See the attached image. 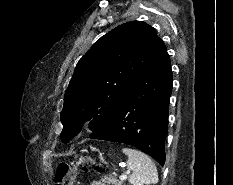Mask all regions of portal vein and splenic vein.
<instances>
[{
  "label": "portal vein and splenic vein",
  "instance_id": "obj_1",
  "mask_svg": "<svg viewBox=\"0 0 233 185\" xmlns=\"http://www.w3.org/2000/svg\"><path fill=\"white\" fill-rule=\"evenodd\" d=\"M130 173V171H127L125 173H123L119 178L120 180H125L127 178V175Z\"/></svg>",
  "mask_w": 233,
  "mask_h": 185
}]
</instances>
